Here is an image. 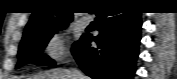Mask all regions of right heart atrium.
<instances>
[{"mask_svg": "<svg viewBox=\"0 0 177 79\" xmlns=\"http://www.w3.org/2000/svg\"><path fill=\"white\" fill-rule=\"evenodd\" d=\"M44 52L49 60L61 61L67 53V39L62 31H55L49 35L44 43Z\"/></svg>", "mask_w": 177, "mask_h": 79, "instance_id": "1", "label": "right heart atrium"}]
</instances>
